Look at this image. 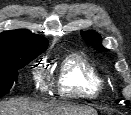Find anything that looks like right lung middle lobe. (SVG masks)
I'll return each instance as SVG.
<instances>
[{"mask_svg": "<svg viewBox=\"0 0 131 115\" xmlns=\"http://www.w3.org/2000/svg\"><path fill=\"white\" fill-rule=\"evenodd\" d=\"M39 53H24L9 61L5 66H0V97L6 95L17 81L18 69L23 68L35 59Z\"/></svg>", "mask_w": 131, "mask_h": 115, "instance_id": "1", "label": "right lung middle lobe"}]
</instances>
